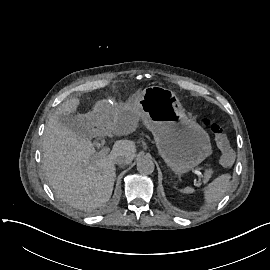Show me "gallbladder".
<instances>
[{
    "mask_svg": "<svg viewBox=\"0 0 270 270\" xmlns=\"http://www.w3.org/2000/svg\"><path fill=\"white\" fill-rule=\"evenodd\" d=\"M63 124L77 135H81L83 128L86 127V123L82 117H64Z\"/></svg>",
    "mask_w": 270,
    "mask_h": 270,
    "instance_id": "bac80fb5",
    "label": "gallbladder"
}]
</instances>
